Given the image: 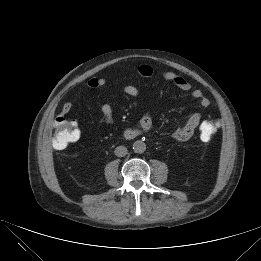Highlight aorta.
<instances>
[{
	"label": "aorta",
	"instance_id": "obj_1",
	"mask_svg": "<svg viewBox=\"0 0 261 261\" xmlns=\"http://www.w3.org/2000/svg\"><path fill=\"white\" fill-rule=\"evenodd\" d=\"M146 150V144L143 141L137 140L133 144V151L135 153H143Z\"/></svg>",
	"mask_w": 261,
	"mask_h": 261
}]
</instances>
